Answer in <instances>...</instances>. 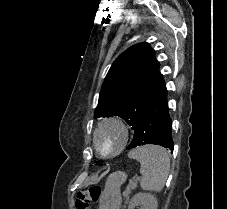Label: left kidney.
<instances>
[{"label": "left kidney", "mask_w": 227, "mask_h": 209, "mask_svg": "<svg viewBox=\"0 0 227 209\" xmlns=\"http://www.w3.org/2000/svg\"><path fill=\"white\" fill-rule=\"evenodd\" d=\"M139 205L140 209H157L158 201L151 193H137L132 197L128 209H136Z\"/></svg>", "instance_id": "1"}]
</instances>
